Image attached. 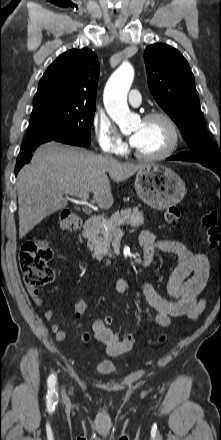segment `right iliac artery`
I'll use <instances>...</instances> for the list:
<instances>
[{
  "instance_id": "82829eb1",
  "label": "right iliac artery",
  "mask_w": 221,
  "mask_h": 440,
  "mask_svg": "<svg viewBox=\"0 0 221 440\" xmlns=\"http://www.w3.org/2000/svg\"><path fill=\"white\" fill-rule=\"evenodd\" d=\"M55 383H56L55 377H54L53 375L50 376V377L48 378V387H49L48 393H49V394H52V393H53Z\"/></svg>"
}]
</instances>
